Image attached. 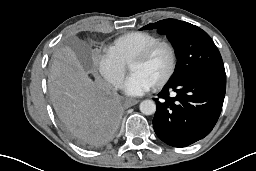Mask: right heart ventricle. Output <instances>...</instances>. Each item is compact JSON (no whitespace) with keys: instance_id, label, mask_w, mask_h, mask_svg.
I'll list each match as a JSON object with an SVG mask.
<instances>
[{"instance_id":"obj_1","label":"right heart ventricle","mask_w":256,"mask_h":171,"mask_svg":"<svg viewBox=\"0 0 256 171\" xmlns=\"http://www.w3.org/2000/svg\"><path fill=\"white\" fill-rule=\"evenodd\" d=\"M158 40L159 38L151 33L131 31L113 40L108 45L107 51L126 65L131 63L140 51Z\"/></svg>"}]
</instances>
